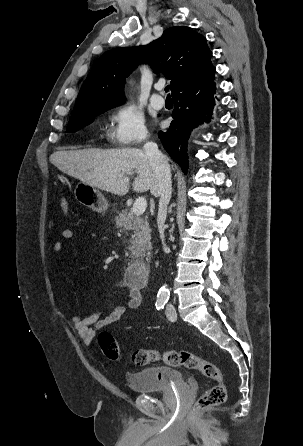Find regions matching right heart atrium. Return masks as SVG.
<instances>
[{
  "label": "right heart atrium",
  "mask_w": 303,
  "mask_h": 446,
  "mask_svg": "<svg viewBox=\"0 0 303 446\" xmlns=\"http://www.w3.org/2000/svg\"><path fill=\"white\" fill-rule=\"evenodd\" d=\"M148 130L143 113L131 103L118 105L111 116L109 140L120 146L134 145L144 141Z\"/></svg>",
  "instance_id": "right-heart-atrium-1"
}]
</instances>
